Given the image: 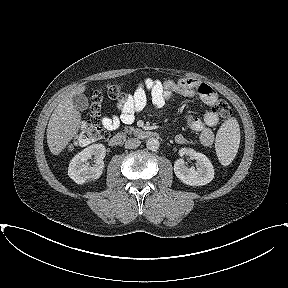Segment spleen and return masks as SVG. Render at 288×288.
I'll return each mask as SVG.
<instances>
[{
    "mask_svg": "<svg viewBox=\"0 0 288 288\" xmlns=\"http://www.w3.org/2000/svg\"><path fill=\"white\" fill-rule=\"evenodd\" d=\"M240 144V129L235 118L226 120L217 132L216 153L220 163L229 165L235 158Z\"/></svg>",
    "mask_w": 288,
    "mask_h": 288,
    "instance_id": "obj_1",
    "label": "spleen"
}]
</instances>
